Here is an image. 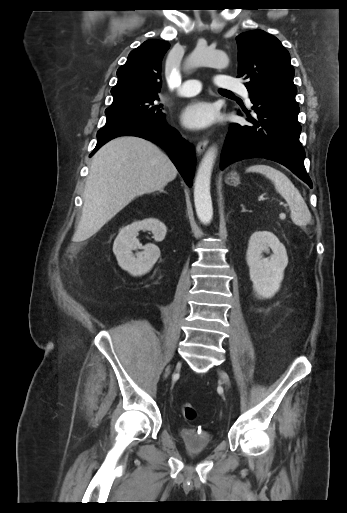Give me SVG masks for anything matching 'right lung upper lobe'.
<instances>
[{
	"mask_svg": "<svg viewBox=\"0 0 347 513\" xmlns=\"http://www.w3.org/2000/svg\"><path fill=\"white\" fill-rule=\"evenodd\" d=\"M167 41L151 39L130 52L117 71L112 88L113 101L130 96L158 95L161 88V62L169 49Z\"/></svg>",
	"mask_w": 347,
	"mask_h": 513,
	"instance_id": "1",
	"label": "right lung upper lobe"
}]
</instances>
